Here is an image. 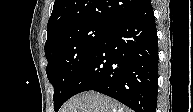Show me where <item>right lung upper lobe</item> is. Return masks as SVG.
Here are the masks:
<instances>
[{
    "label": "right lung upper lobe",
    "instance_id": "right-lung-upper-lobe-1",
    "mask_svg": "<svg viewBox=\"0 0 193 112\" xmlns=\"http://www.w3.org/2000/svg\"><path fill=\"white\" fill-rule=\"evenodd\" d=\"M145 2L147 0H55L47 25V40L75 24L96 23L110 27Z\"/></svg>",
    "mask_w": 193,
    "mask_h": 112
}]
</instances>
